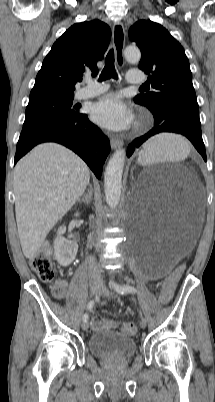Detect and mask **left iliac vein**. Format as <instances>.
I'll use <instances>...</instances> for the list:
<instances>
[{
    "label": "left iliac vein",
    "instance_id": "4c4485c4",
    "mask_svg": "<svg viewBox=\"0 0 215 402\" xmlns=\"http://www.w3.org/2000/svg\"><path fill=\"white\" fill-rule=\"evenodd\" d=\"M101 293H102L103 296H106V297H112L113 296L112 293L104 285L101 286ZM146 325H147L146 318L141 317V319H140V327L144 329L146 327Z\"/></svg>",
    "mask_w": 215,
    "mask_h": 402
}]
</instances>
